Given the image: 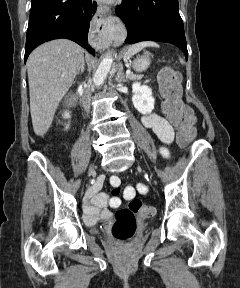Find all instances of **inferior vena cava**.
Here are the masks:
<instances>
[{"instance_id":"1","label":"inferior vena cava","mask_w":240,"mask_h":288,"mask_svg":"<svg viewBox=\"0 0 240 288\" xmlns=\"http://www.w3.org/2000/svg\"><path fill=\"white\" fill-rule=\"evenodd\" d=\"M90 98H91L90 89L86 88L82 96V105L86 112H89L90 110Z\"/></svg>"}]
</instances>
